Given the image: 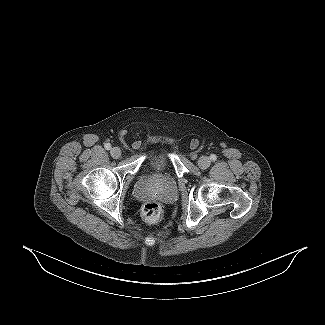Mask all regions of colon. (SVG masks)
Segmentation results:
<instances>
[{"mask_svg": "<svg viewBox=\"0 0 325 325\" xmlns=\"http://www.w3.org/2000/svg\"><path fill=\"white\" fill-rule=\"evenodd\" d=\"M162 205L157 201H148L142 207V216L148 223H156L162 217Z\"/></svg>", "mask_w": 325, "mask_h": 325, "instance_id": "colon-1", "label": "colon"}]
</instances>
